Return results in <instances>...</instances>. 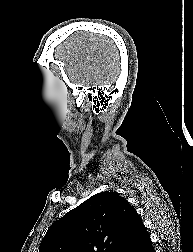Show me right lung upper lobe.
Listing matches in <instances>:
<instances>
[{"mask_svg": "<svg viewBox=\"0 0 193 252\" xmlns=\"http://www.w3.org/2000/svg\"><path fill=\"white\" fill-rule=\"evenodd\" d=\"M145 226L117 192H101L54 222L39 252H127Z\"/></svg>", "mask_w": 193, "mask_h": 252, "instance_id": "obj_1", "label": "right lung upper lobe"}]
</instances>
